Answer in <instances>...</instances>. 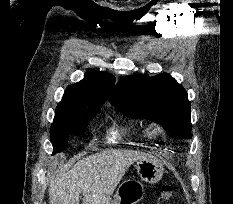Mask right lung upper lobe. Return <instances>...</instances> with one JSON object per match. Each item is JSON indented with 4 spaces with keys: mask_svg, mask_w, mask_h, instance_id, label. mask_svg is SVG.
I'll return each instance as SVG.
<instances>
[{
    "mask_svg": "<svg viewBox=\"0 0 233 204\" xmlns=\"http://www.w3.org/2000/svg\"><path fill=\"white\" fill-rule=\"evenodd\" d=\"M114 83L113 75L88 69L82 81L66 89L62 101L56 108L51 127H58L64 122L98 112L107 100Z\"/></svg>",
    "mask_w": 233,
    "mask_h": 204,
    "instance_id": "cb5924a9",
    "label": "right lung upper lobe"
}]
</instances>
